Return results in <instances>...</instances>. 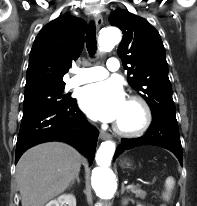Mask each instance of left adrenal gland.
I'll use <instances>...</instances> for the list:
<instances>
[{"label": "left adrenal gland", "instance_id": "obj_1", "mask_svg": "<svg viewBox=\"0 0 197 206\" xmlns=\"http://www.w3.org/2000/svg\"><path fill=\"white\" fill-rule=\"evenodd\" d=\"M125 190H126V188H125L124 184L122 183V185H121V193H124Z\"/></svg>", "mask_w": 197, "mask_h": 206}]
</instances>
